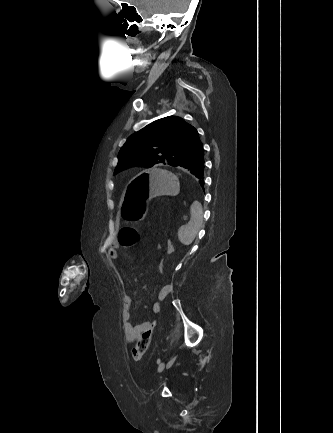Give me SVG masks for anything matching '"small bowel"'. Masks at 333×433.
Returning a JSON list of instances; mask_svg holds the SVG:
<instances>
[{
	"mask_svg": "<svg viewBox=\"0 0 333 433\" xmlns=\"http://www.w3.org/2000/svg\"><path fill=\"white\" fill-rule=\"evenodd\" d=\"M161 248V247H160ZM108 256L110 259L115 260L118 257V248L116 245H112L108 249ZM163 263V260H160L159 266L161 267ZM171 292V287L169 285H163L157 293V298L155 303L153 304V312L156 314L159 311L160 303L164 301L168 295ZM132 306H133V299L130 295L125 294L123 296V313H122V319H123V330L125 339L128 342H134L136 341L141 334L146 331L147 329H150V322H142L140 324L134 325L131 322L132 317Z\"/></svg>",
	"mask_w": 333,
	"mask_h": 433,
	"instance_id": "small-bowel-1",
	"label": "small bowel"
}]
</instances>
